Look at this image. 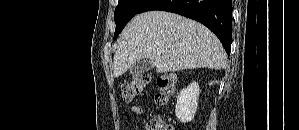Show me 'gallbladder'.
I'll return each instance as SVG.
<instances>
[{
    "instance_id": "1",
    "label": "gallbladder",
    "mask_w": 299,
    "mask_h": 130,
    "mask_svg": "<svg viewBox=\"0 0 299 130\" xmlns=\"http://www.w3.org/2000/svg\"><path fill=\"white\" fill-rule=\"evenodd\" d=\"M154 68L153 63L149 59H142L137 62H135L131 68H130V73L131 74H141L144 72H147Z\"/></svg>"
}]
</instances>
